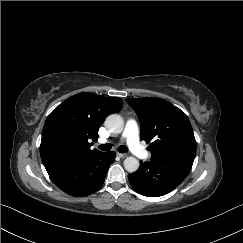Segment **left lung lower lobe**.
<instances>
[{"label":"left lung lower lobe","instance_id":"obj_1","mask_svg":"<svg viewBox=\"0 0 243 243\" xmlns=\"http://www.w3.org/2000/svg\"><path fill=\"white\" fill-rule=\"evenodd\" d=\"M195 155H172L149 162L140 161V169L128 175L134 190L158 197L174 190L191 170Z\"/></svg>","mask_w":243,"mask_h":243}]
</instances>
